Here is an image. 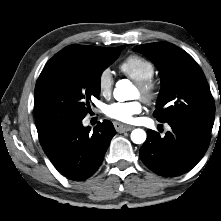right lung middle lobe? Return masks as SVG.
<instances>
[{
	"label": "right lung middle lobe",
	"instance_id": "right-lung-middle-lobe-1",
	"mask_svg": "<svg viewBox=\"0 0 221 221\" xmlns=\"http://www.w3.org/2000/svg\"><path fill=\"white\" fill-rule=\"evenodd\" d=\"M53 56L35 87L34 113L40 142L61 128L82 120L91 111V98L100 94V77L120 55Z\"/></svg>",
	"mask_w": 221,
	"mask_h": 221
}]
</instances>
